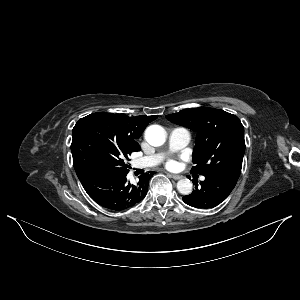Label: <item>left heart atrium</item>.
Here are the masks:
<instances>
[{
  "label": "left heart atrium",
  "mask_w": 300,
  "mask_h": 300,
  "mask_svg": "<svg viewBox=\"0 0 300 300\" xmlns=\"http://www.w3.org/2000/svg\"><path fill=\"white\" fill-rule=\"evenodd\" d=\"M166 166H167V168H169V169H173V168H175V167L177 166V163H176V161H174V160H169V161L166 163Z\"/></svg>",
  "instance_id": "obj_1"
}]
</instances>
